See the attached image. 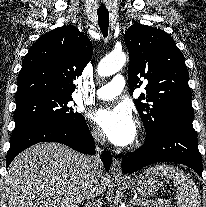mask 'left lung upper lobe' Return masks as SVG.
I'll return each instance as SVG.
<instances>
[{"label": "left lung upper lobe", "mask_w": 206, "mask_h": 207, "mask_svg": "<svg viewBox=\"0 0 206 207\" xmlns=\"http://www.w3.org/2000/svg\"><path fill=\"white\" fill-rule=\"evenodd\" d=\"M129 51L128 83L131 92L146 85L135 100L146 139L178 122H192V94L182 52L164 31L134 24L125 33ZM148 82V83H147Z\"/></svg>", "instance_id": "1"}]
</instances>
